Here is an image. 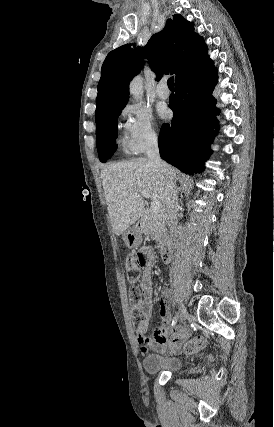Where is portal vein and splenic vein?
Listing matches in <instances>:
<instances>
[{"instance_id": "1", "label": "portal vein and splenic vein", "mask_w": 274, "mask_h": 427, "mask_svg": "<svg viewBox=\"0 0 274 427\" xmlns=\"http://www.w3.org/2000/svg\"><path fill=\"white\" fill-rule=\"evenodd\" d=\"M141 196L143 198H150L148 192H144V190H139ZM151 212H154V214H160L162 212V204L161 202H151Z\"/></svg>"}]
</instances>
